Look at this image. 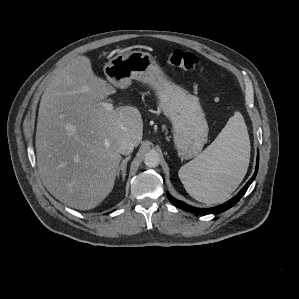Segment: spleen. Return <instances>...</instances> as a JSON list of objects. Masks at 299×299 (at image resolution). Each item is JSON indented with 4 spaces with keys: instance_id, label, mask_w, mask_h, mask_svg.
Masks as SVG:
<instances>
[{
    "instance_id": "1",
    "label": "spleen",
    "mask_w": 299,
    "mask_h": 299,
    "mask_svg": "<svg viewBox=\"0 0 299 299\" xmlns=\"http://www.w3.org/2000/svg\"><path fill=\"white\" fill-rule=\"evenodd\" d=\"M250 141L240 112L228 120L216 139L196 158L182 166L179 178L195 200L226 201L242 182L249 165Z\"/></svg>"
}]
</instances>
